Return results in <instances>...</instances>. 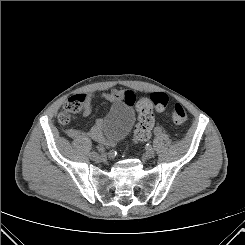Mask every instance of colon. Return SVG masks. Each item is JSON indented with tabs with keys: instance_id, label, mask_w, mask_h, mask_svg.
Instances as JSON below:
<instances>
[{
	"instance_id": "5ec220e1",
	"label": "colon",
	"mask_w": 245,
	"mask_h": 245,
	"mask_svg": "<svg viewBox=\"0 0 245 245\" xmlns=\"http://www.w3.org/2000/svg\"><path fill=\"white\" fill-rule=\"evenodd\" d=\"M83 96L70 98L65 104L59 115V122L63 125L68 124L71 117L81 111L84 104ZM168 104V97L164 93H153L150 97H144L137 103L138 122L134 130V142L140 143L146 141L151 136L154 126L153 108L163 110ZM187 120V113L182 105L176 104L172 113V122L181 125Z\"/></svg>"
}]
</instances>
